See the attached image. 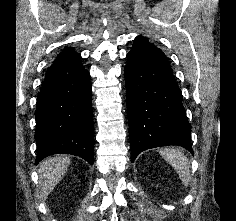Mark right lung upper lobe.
Returning <instances> with one entry per match:
<instances>
[{
  "mask_svg": "<svg viewBox=\"0 0 236 221\" xmlns=\"http://www.w3.org/2000/svg\"><path fill=\"white\" fill-rule=\"evenodd\" d=\"M78 55V53H76L72 48H66L63 52H61L57 58L55 59L54 63L59 62L61 60L70 58V57H74Z\"/></svg>",
  "mask_w": 236,
  "mask_h": 221,
  "instance_id": "right-lung-upper-lobe-1",
  "label": "right lung upper lobe"
}]
</instances>
